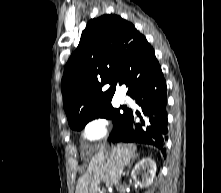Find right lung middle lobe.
Masks as SVG:
<instances>
[{
	"instance_id": "obj_1",
	"label": "right lung middle lobe",
	"mask_w": 221,
	"mask_h": 193,
	"mask_svg": "<svg viewBox=\"0 0 221 193\" xmlns=\"http://www.w3.org/2000/svg\"><path fill=\"white\" fill-rule=\"evenodd\" d=\"M129 109H123L120 108H114L111 104L107 105L104 108H101L99 110H96L91 113H87L85 115H82L75 119L71 123V128L75 130H81L84 128V126L91 120L95 118H106V119H112L114 123V130L110 137L115 135L121 127L124 125L127 115H128Z\"/></svg>"
}]
</instances>
